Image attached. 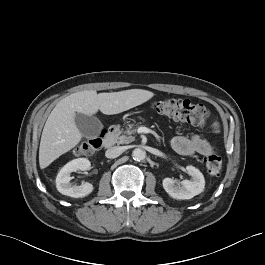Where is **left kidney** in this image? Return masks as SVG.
Returning a JSON list of instances; mask_svg holds the SVG:
<instances>
[{"label":"left kidney","instance_id":"obj_1","mask_svg":"<svg viewBox=\"0 0 265 265\" xmlns=\"http://www.w3.org/2000/svg\"><path fill=\"white\" fill-rule=\"evenodd\" d=\"M186 170L192 177L191 180H183L180 183L171 178L163 180V188L175 199H191L204 191L205 179L200 170L191 165L187 166Z\"/></svg>","mask_w":265,"mask_h":265}]
</instances>
